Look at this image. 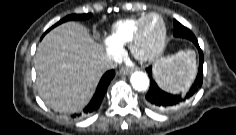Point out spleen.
Instances as JSON below:
<instances>
[{"mask_svg":"<svg viewBox=\"0 0 236 135\" xmlns=\"http://www.w3.org/2000/svg\"><path fill=\"white\" fill-rule=\"evenodd\" d=\"M196 70L195 52L193 50L179 51L155 64L154 77L163 90L179 93L192 84Z\"/></svg>","mask_w":236,"mask_h":135,"instance_id":"3e777b00","label":"spleen"}]
</instances>
